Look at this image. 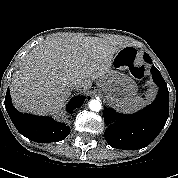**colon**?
Here are the masks:
<instances>
[{"mask_svg":"<svg viewBox=\"0 0 178 178\" xmlns=\"http://www.w3.org/2000/svg\"><path fill=\"white\" fill-rule=\"evenodd\" d=\"M144 71H145V69L143 66H137L133 69V74L137 78H142L144 76Z\"/></svg>","mask_w":178,"mask_h":178,"instance_id":"colon-1","label":"colon"}]
</instances>
